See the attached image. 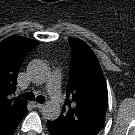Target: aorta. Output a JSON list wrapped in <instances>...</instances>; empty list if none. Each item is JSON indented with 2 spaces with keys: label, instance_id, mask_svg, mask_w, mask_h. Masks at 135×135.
<instances>
[{
  "label": "aorta",
  "instance_id": "aorta-1",
  "mask_svg": "<svg viewBox=\"0 0 135 135\" xmlns=\"http://www.w3.org/2000/svg\"><path fill=\"white\" fill-rule=\"evenodd\" d=\"M28 72L35 81L43 82L49 74V69L43 61L34 60L29 64ZM60 112V106L51 101L47 102L42 109L43 117L50 121L56 120L60 116Z\"/></svg>",
  "mask_w": 135,
  "mask_h": 135
}]
</instances>
